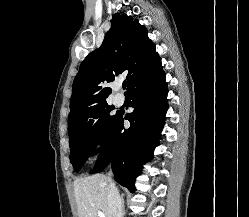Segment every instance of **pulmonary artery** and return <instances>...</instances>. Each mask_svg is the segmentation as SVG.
<instances>
[{
    "label": "pulmonary artery",
    "mask_w": 249,
    "mask_h": 217,
    "mask_svg": "<svg viewBox=\"0 0 249 217\" xmlns=\"http://www.w3.org/2000/svg\"><path fill=\"white\" fill-rule=\"evenodd\" d=\"M124 100L121 97H116L115 98V104L118 106H121L123 104Z\"/></svg>",
    "instance_id": "1"
}]
</instances>
